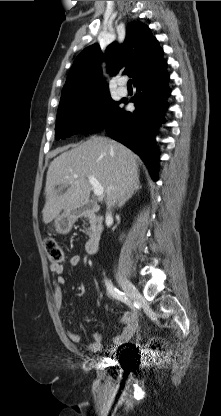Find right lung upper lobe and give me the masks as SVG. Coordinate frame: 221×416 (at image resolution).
<instances>
[{"label":"right lung upper lobe","instance_id":"right-lung-upper-lobe-1","mask_svg":"<svg viewBox=\"0 0 221 416\" xmlns=\"http://www.w3.org/2000/svg\"><path fill=\"white\" fill-rule=\"evenodd\" d=\"M163 50L147 26L131 22L123 44H110L104 54L109 73L113 76L125 68L133 83L166 68ZM102 52L98 44L84 49L74 61L62 90L60 103L75 101L109 92L100 68Z\"/></svg>","mask_w":221,"mask_h":416}]
</instances>
